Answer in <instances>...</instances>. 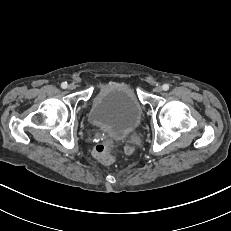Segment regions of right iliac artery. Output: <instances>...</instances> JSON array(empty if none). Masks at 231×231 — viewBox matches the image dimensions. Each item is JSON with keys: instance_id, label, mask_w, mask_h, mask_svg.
<instances>
[{"instance_id": "82829eb1", "label": "right iliac artery", "mask_w": 231, "mask_h": 231, "mask_svg": "<svg viewBox=\"0 0 231 231\" xmlns=\"http://www.w3.org/2000/svg\"><path fill=\"white\" fill-rule=\"evenodd\" d=\"M67 86H68L67 82H63V83L61 84V87H62L63 89H66Z\"/></svg>"}]
</instances>
